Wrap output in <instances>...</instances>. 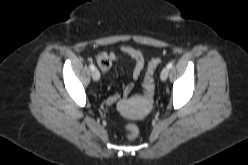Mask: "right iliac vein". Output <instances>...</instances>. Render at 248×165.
<instances>
[{
    "label": "right iliac vein",
    "mask_w": 248,
    "mask_h": 165,
    "mask_svg": "<svg viewBox=\"0 0 248 165\" xmlns=\"http://www.w3.org/2000/svg\"><path fill=\"white\" fill-rule=\"evenodd\" d=\"M92 78L94 81H98L100 79V72L97 69L92 71Z\"/></svg>",
    "instance_id": "1"
}]
</instances>
